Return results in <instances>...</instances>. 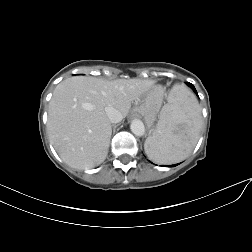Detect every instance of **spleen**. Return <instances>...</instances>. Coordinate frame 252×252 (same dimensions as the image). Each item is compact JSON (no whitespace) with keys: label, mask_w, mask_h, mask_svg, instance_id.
Wrapping results in <instances>:
<instances>
[{"label":"spleen","mask_w":252,"mask_h":252,"mask_svg":"<svg viewBox=\"0 0 252 252\" xmlns=\"http://www.w3.org/2000/svg\"><path fill=\"white\" fill-rule=\"evenodd\" d=\"M201 126L197 99L184 86L175 85L162 108L156 129L145 141V152L160 164L183 161L197 144Z\"/></svg>","instance_id":"1"}]
</instances>
